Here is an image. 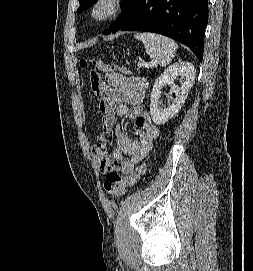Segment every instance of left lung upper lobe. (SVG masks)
Returning <instances> with one entry per match:
<instances>
[{
	"instance_id": "obj_1",
	"label": "left lung upper lobe",
	"mask_w": 253,
	"mask_h": 271,
	"mask_svg": "<svg viewBox=\"0 0 253 271\" xmlns=\"http://www.w3.org/2000/svg\"><path fill=\"white\" fill-rule=\"evenodd\" d=\"M97 0H79L80 7L78 8L77 12H82L86 9H88L92 4H94ZM134 1L135 0H123L122 12L120 16L117 18L115 23H113L109 29L104 34H110L113 32L116 28H118L130 15L133 7H134Z\"/></svg>"
}]
</instances>
